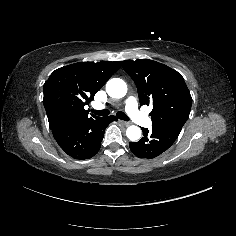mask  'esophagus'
<instances>
[{"label":"esophagus","instance_id":"1","mask_svg":"<svg viewBox=\"0 0 236 236\" xmlns=\"http://www.w3.org/2000/svg\"><path fill=\"white\" fill-rule=\"evenodd\" d=\"M119 122L122 123V124L125 125V126H129V125H130V123H129V122H126V121L119 120Z\"/></svg>","mask_w":236,"mask_h":236}]
</instances>
